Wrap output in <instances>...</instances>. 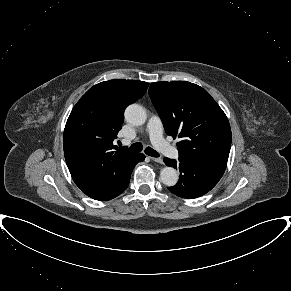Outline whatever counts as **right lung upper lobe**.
Returning <instances> with one entry per match:
<instances>
[{
    "label": "right lung upper lobe",
    "mask_w": 291,
    "mask_h": 291,
    "mask_svg": "<svg viewBox=\"0 0 291 291\" xmlns=\"http://www.w3.org/2000/svg\"><path fill=\"white\" fill-rule=\"evenodd\" d=\"M149 83L115 79L90 88L67 120L64 156L75 184L99 199L119 184L136 155L114 145L124 121L125 108L140 99Z\"/></svg>",
    "instance_id": "obj_1"
}]
</instances>
